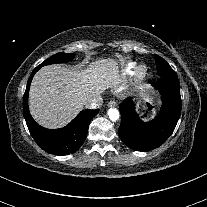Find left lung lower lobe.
<instances>
[{"label": "left lung lower lobe", "mask_w": 207, "mask_h": 207, "mask_svg": "<svg viewBox=\"0 0 207 207\" xmlns=\"http://www.w3.org/2000/svg\"><path fill=\"white\" fill-rule=\"evenodd\" d=\"M162 97V107L155 119L141 121L134 111L132 98L119 105L121 125L119 136L131 149L138 151L153 150L162 145L173 133L181 114L179 80L176 73L160 76L153 83Z\"/></svg>", "instance_id": "1"}]
</instances>
